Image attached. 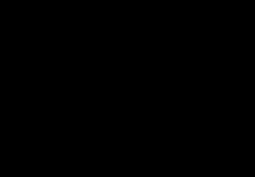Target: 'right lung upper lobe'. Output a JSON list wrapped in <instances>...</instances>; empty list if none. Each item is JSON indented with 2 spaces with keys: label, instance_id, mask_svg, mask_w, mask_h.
Returning a JSON list of instances; mask_svg holds the SVG:
<instances>
[{
  "label": "right lung upper lobe",
  "instance_id": "right-lung-upper-lobe-1",
  "mask_svg": "<svg viewBox=\"0 0 255 177\" xmlns=\"http://www.w3.org/2000/svg\"><path fill=\"white\" fill-rule=\"evenodd\" d=\"M113 43L107 36L81 33L62 45L51 58L44 80V93L55 120L70 111L89 110L100 101L92 89Z\"/></svg>",
  "mask_w": 255,
  "mask_h": 177
}]
</instances>
